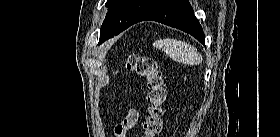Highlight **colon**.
Instances as JSON below:
<instances>
[{"label": "colon", "mask_w": 280, "mask_h": 137, "mask_svg": "<svg viewBox=\"0 0 280 137\" xmlns=\"http://www.w3.org/2000/svg\"><path fill=\"white\" fill-rule=\"evenodd\" d=\"M125 67L147 80L148 116L144 122V134L145 137H156L162 127V106L166 96L163 73L154 58L134 53L125 59ZM128 130L129 126L120 122L114 127V136L125 137Z\"/></svg>", "instance_id": "5ec220e1"}]
</instances>
